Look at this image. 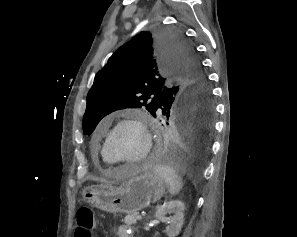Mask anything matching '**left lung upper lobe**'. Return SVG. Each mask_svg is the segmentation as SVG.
I'll return each instance as SVG.
<instances>
[{
	"label": "left lung upper lobe",
	"mask_w": 297,
	"mask_h": 237,
	"mask_svg": "<svg viewBox=\"0 0 297 237\" xmlns=\"http://www.w3.org/2000/svg\"><path fill=\"white\" fill-rule=\"evenodd\" d=\"M210 100L208 81L185 37L157 28L120 47L96 74L82 127L90 135L104 116L118 109L145 107L159 117L170 101L192 105Z\"/></svg>",
	"instance_id": "1"
}]
</instances>
